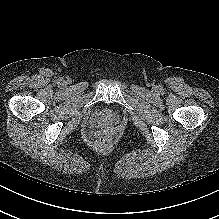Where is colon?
<instances>
[{"label":"colon","instance_id":"colon-1","mask_svg":"<svg viewBox=\"0 0 219 219\" xmlns=\"http://www.w3.org/2000/svg\"><path fill=\"white\" fill-rule=\"evenodd\" d=\"M109 145V142L106 138L101 137L96 141V147L99 149L106 148Z\"/></svg>","mask_w":219,"mask_h":219}]
</instances>
